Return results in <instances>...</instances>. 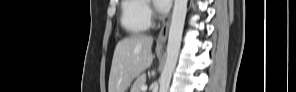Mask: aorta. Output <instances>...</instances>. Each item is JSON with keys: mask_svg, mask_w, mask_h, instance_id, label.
Returning <instances> with one entry per match:
<instances>
[{"mask_svg": "<svg viewBox=\"0 0 296 92\" xmlns=\"http://www.w3.org/2000/svg\"><path fill=\"white\" fill-rule=\"evenodd\" d=\"M188 0H175L167 44V59L159 79V92H168L177 64Z\"/></svg>", "mask_w": 296, "mask_h": 92, "instance_id": "aorta-1", "label": "aorta"}]
</instances>
